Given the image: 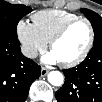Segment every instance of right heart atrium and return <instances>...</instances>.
Listing matches in <instances>:
<instances>
[{"mask_svg": "<svg viewBox=\"0 0 102 102\" xmlns=\"http://www.w3.org/2000/svg\"><path fill=\"white\" fill-rule=\"evenodd\" d=\"M17 35L22 44L24 54L34 58L47 48V41L38 33L32 23L21 20L17 25Z\"/></svg>", "mask_w": 102, "mask_h": 102, "instance_id": "obj_1", "label": "right heart atrium"}]
</instances>
